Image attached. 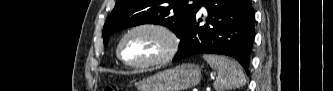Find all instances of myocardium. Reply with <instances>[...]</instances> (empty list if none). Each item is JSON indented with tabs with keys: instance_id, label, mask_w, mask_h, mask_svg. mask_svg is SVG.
<instances>
[{
	"instance_id": "myocardium-1",
	"label": "myocardium",
	"mask_w": 333,
	"mask_h": 91,
	"mask_svg": "<svg viewBox=\"0 0 333 91\" xmlns=\"http://www.w3.org/2000/svg\"><path fill=\"white\" fill-rule=\"evenodd\" d=\"M142 30L153 31L163 36L167 43L166 50L162 56L156 59L137 63L129 62L125 59L123 54L124 43L132 33ZM179 45V36L171 27L161 23H141L132 26L123 34L117 47V56L126 66L130 68L144 69L162 65L172 60L178 52Z\"/></svg>"
}]
</instances>
